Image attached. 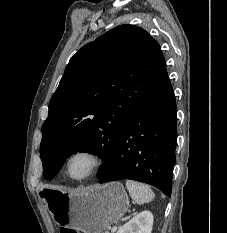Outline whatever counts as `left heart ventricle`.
<instances>
[{
  "label": "left heart ventricle",
  "mask_w": 227,
  "mask_h": 233,
  "mask_svg": "<svg viewBox=\"0 0 227 233\" xmlns=\"http://www.w3.org/2000/svg\"><path fill=\"white\" fill-rule=\"evenodd\" d=\"M91 166V161L85 156L75 158L70 165L71 175L74 177H81L87 173Z\"/></svg>",
  "instance_id": "1"
}]
</instances>
